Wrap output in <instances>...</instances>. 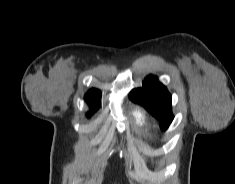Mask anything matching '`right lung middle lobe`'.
I'll return each instance as SVG.
<instances>
[{"mask_svg":"<svg viewBox=\"0 0 235 184\" xmlns=\"http://www.w3.org/2000/svg\"><path fill=\"white\" fill-rule=\"evenodd\" d=\"M93 108V110H96L98 107H92Z\"/></svg>","mask_w":235,"mask_h":184,"instance_id":"obj_1","label":"right lung middle lobe"}]
</instances>
